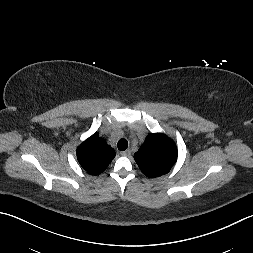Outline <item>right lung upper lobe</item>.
<instances>
[{
  "instance_id": "obj_1",
  "label": "right lung upper lobe",
  "mask_w": 253,
  "mask_h": 253,
  "mask_svg": "<svg viewBox=\"0 0 253 253\" xmlns=\"http://www.w3.org/2000/svg\"><path fill=\"white\" fill-rule=\"evenodd\" d=\"M115 157V151L98 133L86 139L77 149L80 165L92 175L102 173Z\"/></svg>"
}]
</instances>
